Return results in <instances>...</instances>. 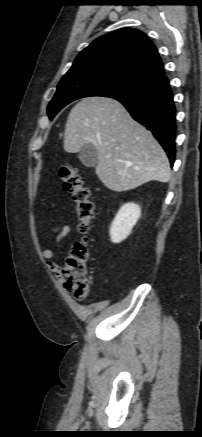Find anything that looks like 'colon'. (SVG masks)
<instances>
[{
	"instance_id": "1",
	"label": "colon",
	"mask_w": 202,
	"mask_h": 437,
	"mask_svg": "<svg viewBox=\"0 0 202 437\" xmlns=\"http://www.w3.org/2000/svg\"><path fill=\"white\" fill-rule=\"evenodd\" d=\"M59 176L65 191L69 192L75 207L78 231L83 239L74 243L62 268L64 288L76 299H84L90 292L88 262L90 258L87 235L94 218V204L89 190L83 185L77 169L70 165L59 168Z\"/></svg>"
}]
</instances>
